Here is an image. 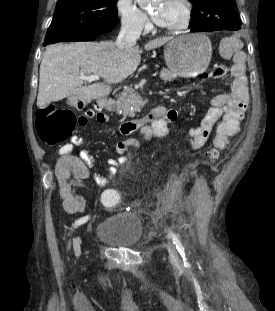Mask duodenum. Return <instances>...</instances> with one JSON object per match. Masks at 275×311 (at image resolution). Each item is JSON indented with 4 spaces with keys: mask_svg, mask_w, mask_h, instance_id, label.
Instances as JSON below:
<instances>
[{
    "mask_svg": "<svg viewBox=\"0 0 275 311\" xmlns=\"http://www.w3.org/2000/svg\"><path fill=\"white\" fill-rule=\"evenodd\" d=\"M98 101H99V103L102 106H105L107 108H112L113 107L112 98H103V97H101V98L98 99ZM154 110H164V106L155 107L153 109V112H154ZM149 116L150 115H148V116H146V117H144L142 119H136V120H132V121H125V122H123L120 125V131L123 134H129V133L133 132L136 129L145 127V125L147 124L148 119H150Z\"/></svg>",
    "mask_w": 275,
    "mask_h": 311,
    "instance_id": "410a0bca",
    "label": "duodenum"
}]
</instances>
